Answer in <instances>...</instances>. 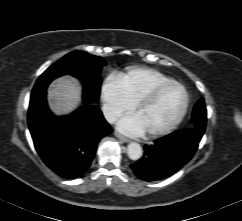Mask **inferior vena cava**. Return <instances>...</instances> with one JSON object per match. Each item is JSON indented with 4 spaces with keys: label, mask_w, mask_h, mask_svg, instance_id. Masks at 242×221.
<instances>
[{
    "label": "inferior vena cava",
    "mask_w": 242,
    "mask_h": 221,
    "mask_svg": "<svg viewBox=\"0 0 242 221\" xmlns=\"http://www.w3.org/2000/svg\"><path fill=\"white\" fill-rule=\"evenodd\" d=\"M102 111L108 122L114 123L118 119V112L109 104H104L102 106Z\"/></svg>",
    "instance_id": "602c4592"
}]
</instances>
